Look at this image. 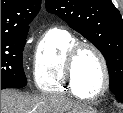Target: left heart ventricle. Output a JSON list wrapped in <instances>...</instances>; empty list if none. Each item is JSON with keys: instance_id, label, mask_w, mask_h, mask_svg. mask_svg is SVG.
<instances>
[{"instance_id": "left-heart-ventricle-1", "label": "left heart ventricle", "mask_w": 123, "mask_h": 113, "mask_svg": "<svg viewBox=\"0 0 123 113\" xmlns=\"http://www.w3.org/2000/svg\"><path fill=\"white\" fill-rule=\"evenodd\" d=\"M75 77L83 94H95L103 86L104 77L101 62L91 50H84L75 63Z\"/></svg>"}]
</instances>
